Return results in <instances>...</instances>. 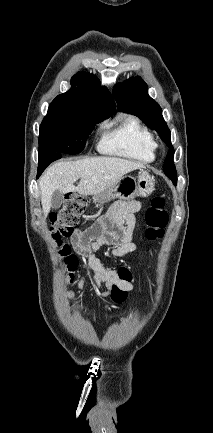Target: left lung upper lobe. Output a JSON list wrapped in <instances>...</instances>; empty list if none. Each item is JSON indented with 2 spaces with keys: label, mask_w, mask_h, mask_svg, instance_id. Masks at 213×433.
Listing matches in <instances>:
<instances>
[{
  "label": "left lung upper lobe",
  "mask_w": 213,
  "mask_h": 433,
  "mask_svg": "<svg viewBox=\"0 0 213 433\" xmlns=\"http://www.w3.org/2000/svg\"><path fill=\"white\" fill-rule=\"evenodd\" d=\"M147 84L139 77L130 78L122 85H116L113 95L120 111L138 116L148 127L156 130L170 150L167 153L163 171L177 184V172L173 163L174 149L171 132L162 116L159 104L147 93Z\"/></svg>",
  "instance_id": "1"
}]
</instances>
